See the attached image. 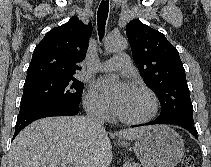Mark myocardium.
I'll list each match as a JSON object with an SVG mask.
<instances>
[{
    "label": "myocardium",
    "instance_id": "1",
    "mask_svg": "<svg viewBox=\"0 0 211 167\" xmlns=\"http://www.w3.org/2000/svg\"><path fill=\"white\" fill-rule=\"evenodd\" d=\"M131 89L138 92H142L148 97L150 101V111L145 117L142 118H126L118 114V119L121 122L130 125L145 124L151 121L158 111V100L155 93L150 88L142 84H134Z\"/></svg>",
    "mask_w": 211,
    "mask_h": 167
}]
</instances>
